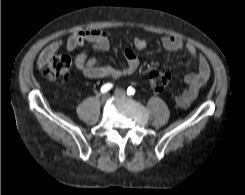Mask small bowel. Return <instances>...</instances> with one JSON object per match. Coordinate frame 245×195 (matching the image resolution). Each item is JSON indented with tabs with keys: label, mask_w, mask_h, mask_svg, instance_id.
I'll return each mask as SVG.
<instances>
[{
	"label": "small bowel",
	"mask_w": 245,
	"mask_h": 195,
	"mask_svg": "<svg viewBox=\"0 0 245 195\" xmlns=\"http://www.w3.org/2000/svg\"><path fill=\"white\" fill-rule=\"evenodd\" d=\"M87 43L93 44L94 48L105 51L109 48V34L105 30H82L73 33L66 41L67 50H74ZM62 45L61 41H56L48 45L38 58V66L43 67L55 50ZM134 48L143 50L147 46L144 38L136 37L133 41ZM162 46L169 51H185L197 63L198 69L189 73L185 77L187 88L175 97L176 104L179 107H188L198 96L200 89L210 77V66L206 57L197 52L196 47L191 43H184L181 39L173 36H167L162 39ZM124 57L126 65L119 69L107 64H101L96 58L88 57L84 53H79L75 58L76 68L88 78H110L118 79L123 76H129L136 72L140 61L135 52L130 48H125Z\"/></svg>",
	"instance_id": "obj_1"
}]
</instances>
